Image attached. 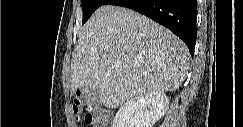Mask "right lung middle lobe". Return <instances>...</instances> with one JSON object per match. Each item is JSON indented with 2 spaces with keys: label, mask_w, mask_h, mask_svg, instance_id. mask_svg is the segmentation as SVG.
<instances>
[{
  "label": "right lung middle lobe",
  "mask_w": 243,
  "mask_h": 127,
  "mask_svg": "<svg viewBox=\"0 0 243 127\" xmlns=\"http://www.w3.org/2000/svg\"><path fill=\"white\" fill-rule=\"evenodd\" d=\"M106 0H81L83 10L82 24H84L93 14V12L102 6Z\"/></svg>",
  "instance_id": "obj_1"
}]
</instances>
